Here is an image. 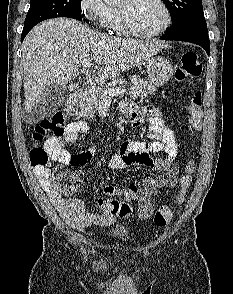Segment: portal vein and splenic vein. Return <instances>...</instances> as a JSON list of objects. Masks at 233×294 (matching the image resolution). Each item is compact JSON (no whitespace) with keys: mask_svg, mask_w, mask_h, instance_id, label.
<instances>
[{"mask_svg":"<svg viewBox=\"0 0 233 294\" xmlns=\"http://www.w3.org/2000/svg\"><path fill=\"white\" fill-rule=\"evenodd\" d=\"M91 59H84L82 61V66L84 68H89L91 66ZM126 92V89L124 88H118V89H114V88H109V89H105V94L107 95V97H113V96H118V95H123Z\"/></svg>","mask_w":233,"mask_h":294,"instance_id":"obj_1","label":"portal vein and splenic vein"}]
</instances>
